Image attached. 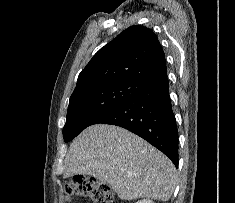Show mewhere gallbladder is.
Returning a JSON list of instances; mask_svg holds the SVG:
<instances>
[{"mask_svg": "<svg viewBox=\"0 0 235 203\" xmlns=\"http://www.w3.org/2000/svg\"><path fill=\"white\" fill-rule=\"evenodd\" d=\"M98 184H99V185H105V180H99V181H98Z\"/></svg>", "mask_w": 235, "mask_h": 203, "instance_id": "1", "label": "gallbladder"}]
</instances>
